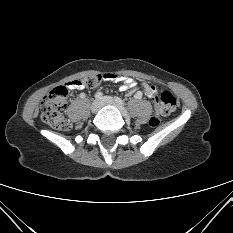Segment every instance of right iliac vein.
<instances>
[{"label":"right iliac vein","mask_w":233,"mask_h":233,"mask_svg":"<svg viewBox=\"0 0 233 233\" xmlns=\"http://www.w3.org/2000/svg\"><path fill=\"white\" fill-rule=\"evenodd\" d=\"M102 104L100 100H95L93 101V103L91 104V111L92 113H96L99 111V109L101 108Z\"/></svg>","instance_id":"63e3f726"}]
</instances>
